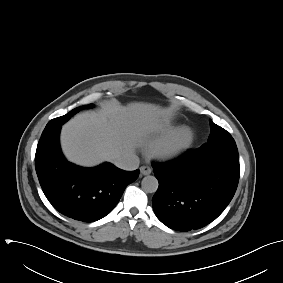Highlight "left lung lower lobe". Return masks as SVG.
<instances>
[{
	"mask_svg": "<svg viewBox=\"0 0 283 283\" xmlns=\"http://www.w3.org/2000/svg\"><path fill=\"white\" fill-rule=\"evenodd\" d=\"M153 168L159 181L154 212L178 231L196 230L216 219L233 198L240 174L239 160L197 149Z\"/></svg>",
	"mask_w": 283,
	"mask_h": 283,
	"instance_id": "0a47b994",
	"label": "left lung lower lobe"
}]
</instances>
